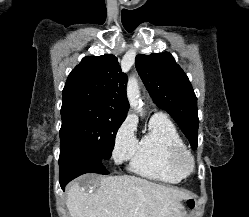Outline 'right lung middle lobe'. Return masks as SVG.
<instances>
[{"label": "right lung middle lobe", "instance_id": "dd1d6c3e", "mask_svg": "<svg viewBox=\"0 0 249 217\" xmlns=\"http://www.w3.org/2000/svg\"><path fill=\"white\" fill-rule=\"evenodd\" d=\"M62 145H76L104 162L111 157L118 128L126 115L86 100H63Z\"/></svg>", "mask_w": 249, "mask_h": 217}]
</instances>
